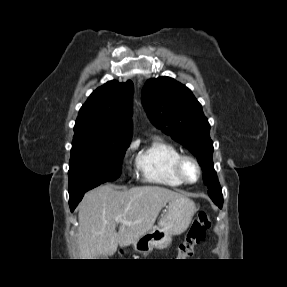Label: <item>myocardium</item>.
I'll use <instances>...</instances> for the list:
<instances>
[{"label":"myocardium","instance_id":"f54148a6","mask_svg":"<svg viewBox=\"0 0 287 287\" xmlns=\"http://www.w3.org/2000/svg\"><path fill=\"white\" fill-rule=\"evenodd\" d=\"M187 162H191L192 164H194V166L196 167L197 169V172H198V175H197V178L194 180V181H189L186 177H185V174H184V166ZM174 170H175V174L176 176L179 178V180L183 183V184H186V185H194L196 184L201 176H202V168H201V165L200 163L198 162V160L191 156V155H181L178 160L176 161L175 163V167H174Z\"/></svg>","mask_w":287,"mask_h":287}]
</instances>
